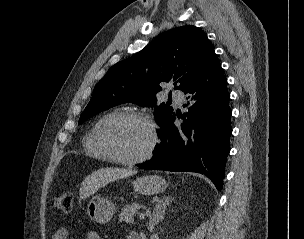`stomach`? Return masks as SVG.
I'll return each instance as SVG.
<instances>
[{
	"label": "stomach",
	"mask_w": 304,
	"mask_h": 239,
	"mask_svg": "<svg viewBox=\"0 0 304 239\" xmlns=\"http://www.w3.org/2000/svg\"><path fill=\"white\" fill-rule=\"evenodd\" d=\"M166 183L159 176L150 175L138 177L133 181L135 191L143 195H153L162 192ZM116 210L115 204L106 198L94 196L87 204V214L100 224H105L111 220Z\"/></svg>",
	"instance_id": "obj_1"
}]
</instances>
